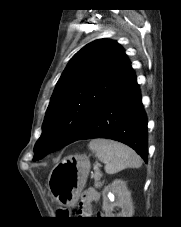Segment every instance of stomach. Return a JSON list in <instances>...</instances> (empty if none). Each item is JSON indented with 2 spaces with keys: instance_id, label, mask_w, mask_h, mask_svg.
<instances>
[{
  "instance_id": "1",
  "label": "stomach",
  "mask_w": 181,
  "mask_h": 227,
  "mask_svg": "<svg viewBox=\"0 0 181 227\" xmlns=\"http://www.w3.org/2000/svg\"><path fill=\"white\" fill-rule=\"evenodd\" d=\"M90 167L86 155H72L61 160L51 170L48 178L52 197L62 206H73L86 184Z\"/></svg>"
}]
</instances>
